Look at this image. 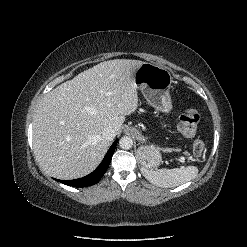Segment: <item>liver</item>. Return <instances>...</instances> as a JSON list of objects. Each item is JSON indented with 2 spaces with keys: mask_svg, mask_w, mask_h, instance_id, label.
<instances>
[{
  "mask_svg": "<svg viewBox=\"0 0 247 247\" xmlns=\"http://www.w3.org/2000/svg\"><path fill=\"white\" fill-rule=\"evenodd\" d=\"M139 60L114 59L81 72L47 93L33 119V149L40 167L58 179L91 173L107 152V127L120 134L138 107L134 72Z\"/></svg>",
  "mask_w": 247,
  "mask_h": 247,
  "instance_id": "obj_1",
  "label": "liver"
}]
</instances>
